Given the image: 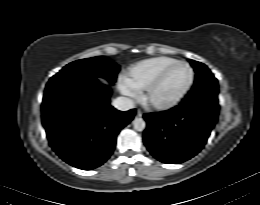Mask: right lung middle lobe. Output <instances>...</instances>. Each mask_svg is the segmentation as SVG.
<instances>
[{"label":"right lung middle lobe","mask_w":260,"mask_h":205,"mask_svg":"<svg viewBox=\"0 0 260 205\" xmlns=\"http://www.w3.org/2000/svg\"><path fill=\"white\" fill-rule=\"evenodd\" d=\"M119 70L118 65L102 56H97L74 61L66 65L52 78L57 79L62 76L103 77L108 79L110 83H114Z\"/></svg>","instance_id":"dd1d6c3e"}]
</instances>
